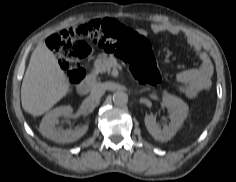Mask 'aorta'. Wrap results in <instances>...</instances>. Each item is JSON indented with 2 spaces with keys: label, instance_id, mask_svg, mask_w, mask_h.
Wrapping results in <instances>:
<instances>
[{
  "label": "aorta",
  "instance_id": "aorta-1",
  "mask_svg": "<svg viewBox=\"0 0 236 182\" xmlns=\"http://www.w3.org/2000/svg\"><path fill=\"white\" fill-rule=\"evenodd\" d=\"M113 102L118 106L125 105L128 102V95L123 91H116L113 94Z\"/></svg>",
  "mask_w": 236,
  "mask_h": 182
}]
</instances>
